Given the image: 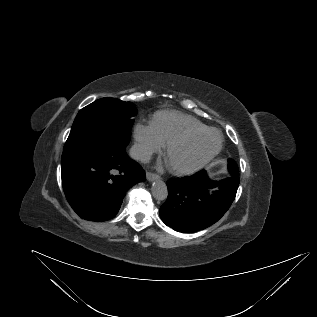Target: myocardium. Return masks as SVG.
<instances>
[{
    "mask_svg": "<svg viewBox=\"0 0 317 317\" xmlns=\"http://www.w3.org/2000/svg\"><path fill=\"white\" fill-rule=\"evenodd\" d=\"M208 132H214L218 135V144L217 146L209 153L207 154L205 157H203L202 159H200L199 161H197L196 163L188 166V167H184V168H175V167H170V170L172 173L176 174V175H188V174H192L198 170H200L201 168H203L204 166H206L209 162H211L221 151L222 146H223V137L222 134L215 128H211V127H206L203 129H195V130H190L187 131L183 134H181L180 136L174 138L173 140H171L164 149V157L165 160L167 159L168 154L175 149L176 147L184 144L185 142H187L188 140L202 135L204 133H208Z\"/></svg>",
    "mask_w": 317,
    "mask_h": 317,
    "instance_id": "1",
    "label": "myocardium"
}]
</instances>
